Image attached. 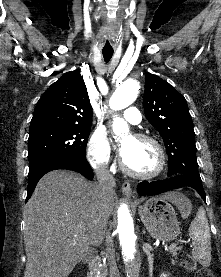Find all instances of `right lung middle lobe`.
Instances as JSON below:
<instances>
[{
	"label": "right lung middle lobe",
	"instance_id": "obj_1",
	"mask_svg": "<svg viewBox=\"0 0 221 277\" xmlns=\"http://www.w3.org/2000/svg\"><path fill=\"white\" fill-rule=\"evenodd\" d=\"M91 125L30 126L28 139L29 174L44 166L71 158H85Z\"/></svg>",
	"mask_w": 221,
	"mask_h": 277
}]
</instances>
